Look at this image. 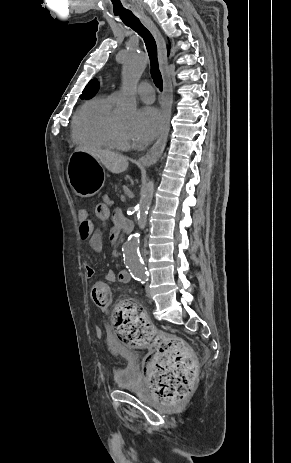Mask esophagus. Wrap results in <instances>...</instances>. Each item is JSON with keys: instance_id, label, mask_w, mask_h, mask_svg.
Returning <instances> with one entry per match:
<instances>
[{"instance_id": "obj_1", "label": "esophagus", "mask_w": 291, "mask_h": 463, "mask_svg": "<svg viewBox=\"0 0 291 463\" xmlns=\"http://www.w3.org/2000/svg\"><path fill=\"white\" fill-rule=\"evenodd\" d=\"M144 24L150 29L153 36L156 39L158 49H159V59L160 65L163 70V77H164V94H163V104H162V116H163V129L158 140L155 144L151 147V149L139 158L138 163L143 166H149L154 164L159 157L162 155L163 150L165 148L167 137L170 129L169 125V114H170V88H169V73L167 71V58H166V47L164 39L153 23V21L145 17L143 18Z\"/></svg>"}]
</instances>
